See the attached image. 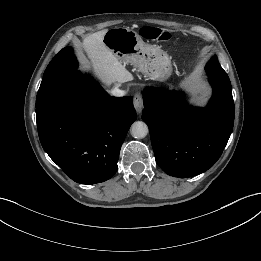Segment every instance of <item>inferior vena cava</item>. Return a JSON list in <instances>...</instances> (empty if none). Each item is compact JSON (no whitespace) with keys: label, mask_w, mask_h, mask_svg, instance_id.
<instances>
[{"label":"inferior vena cava","mask_w":261,"mask_h":261,"mask_svg":"<svg viewBox=\"0 0 261 261\" xmlns=\"http://www.w3.org/2000/svg\"><path fill=\"white\" fill-rule=\"evenodd\" d=\"M111 94L117 97H121L125 94L123 90H120L118 87H115L111 90Z\"/></svg>","instance_id":"inferior-vena-cava-1"}]
</instances>
